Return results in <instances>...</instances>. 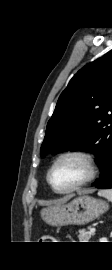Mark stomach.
I'll return each instance as SVG.
<instances>
[{
  "label": "stomach",
  "instance_id": "stomach-1",
  "mask_svg": "<svg viewBox=\"0 0 112 270\" xmlns=\"http://www.w3.org/2000/svg\"><path fill=\"white\" fill-rule=\"evenodd\" d=\"M109 209L102 200L83 195L67 204H55L41 210L42 219L52 226L85 225Z\"/></svg>",
  "mask_w": 112,
  "mask_h": 270
}]
</instances>
